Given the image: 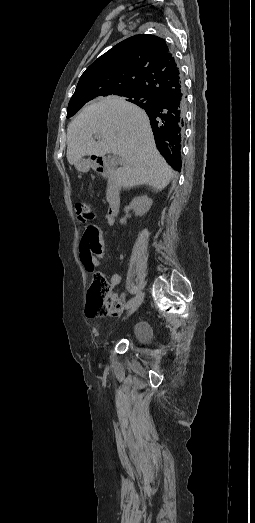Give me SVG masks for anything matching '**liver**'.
<instances>
[{
  "instance_id": "1",
  "label": "liver",
  "mask_w": 255,
  "mask_h": 523,
  "mask_svg": "<svg viewBox=\"0 0 255 523\" xmlns=\"http://www.w3.org/2000/svg\"><path fill=\"white\" fill-rule=\"evenodd\" d=\"M67 144L71 166L83 156L117 154L123 168L116 176L123 188L149 184L164 190L174 176L156 148L146 112L123 98H100L85 106L67 128Z\"/></svg>"
}]
</instances>
